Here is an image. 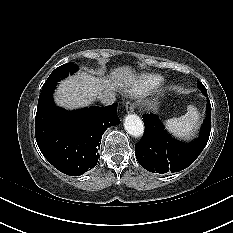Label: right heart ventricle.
Instances as JSON below:
<instances>
[{"label": "right heart ventricle", "instance_id": "obj_1", "mask_svg": "<svg viewBox=\"0 0 233 233\" xmlns=\"http://www.w3.org/2000/svg\"><path fill=\"white\" fill-rule=\"evenodd\" d=\"M162 81L163 78L159 75L145 74L131 85L129 91L134 94H144L158 87Z\"/></svg>", "mask_w": 233, "mask_h": 233}]
</instances>
